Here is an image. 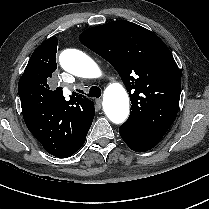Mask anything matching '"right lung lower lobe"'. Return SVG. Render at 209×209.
I'll list each match as a JSON object with an SVG mask.
<instances>
[{"label":"right lung lower lobe","mask_w":209,"mask_h":209,"mask_svg":"<svg viewBox=\"0 0 209 209\" xmlns=\"http://www.w3.org/2000/svg\"><path fill=\"white\" fill-rule=\"evenodd\" d=\"M23 118L29 131L53 156L67 158L72 156L85 142L71 143L67 130L52 126L56 108L50 101L30 98L21 102Z\"/></svg>","instance_id":"obj_1"}]
</instances>
